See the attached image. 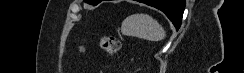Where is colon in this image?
<instances>
[{
  "instance_id": "obj_1",
  "label": "colon",
  "mask_w": 244,
  "mask_h": 73,
  "mask_svg": "<svg viewBox=\"0 0 244 73\" xmlns=\"http://www.w3.org/2000/svg\"><path fill=\"white\" fill-rule=\"evenodd\" d=\"M101 50L108 54H115L120 49V41L114 36H102L99 40Z\"/></svg>"
}]
</instances>
